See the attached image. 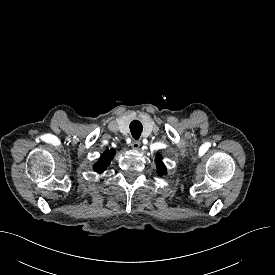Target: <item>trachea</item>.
Returning a JSON list of instances; mask_svg holds the SVG:
<instances>
[{
	"mask_svg": "<svg viewBox=\"0 0 275 275\" xmlns=\"http://www.w3.org/2000/svg\"><path fill=\"white\" fill-rule=\"evenodd\" d=\"M130 131H131V134H132V137L134 139H139L141 133H142V130H143V127H142V124L140 121L138 120H133L131 123H130Z\"/></svg>",
	"mask_w": 275,
	"mask_h": 275,
	"instance_id": "obj_1",
	"label": "trachea"
}]
</instances>
